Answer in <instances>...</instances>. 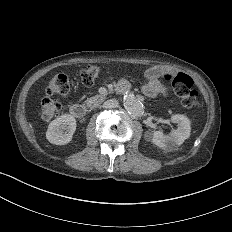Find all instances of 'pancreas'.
Here are the masks:
<instances>
[{
	"label": "pancreas",
	"instance_id": "pancreas-1",
	"mask_svg": "<svg viewBox=\"0 0 232 232\" xmlns=\"http://www.w3.org/2000/svg\"><path fill=\"white\" fill-rule=\"evenodd\" d=\"M105 96L104 95H96L94 97H91L86 100V105L90 109H94L95 107H98L99 104L104 100Z\"/></svg>",
	"mask_w": 232,
	"mask_h": 232
}]
</instances>
